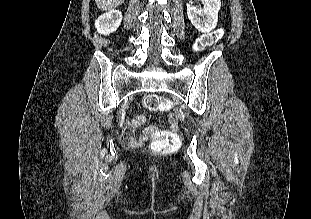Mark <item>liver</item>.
I'll use <instances>...</instances> for the list:
<instances>
[{"label": "liver", "mask_w": 311, "mask_h": 219, "mask_svg": "<svg viewBox=\"0 0 311 219\" xmlns=\"http://www.w3.org/2000/svg\"><path fill=\"white\" fill-rule=\"evenodd\" d=\"M123 2L124 0H95L97 7L103 11L112 10Z\"/></svg>", "instance_id": "obj_1"}]
</instances>
